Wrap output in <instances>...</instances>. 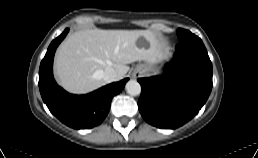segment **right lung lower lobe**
Returning a JSON list of instances; mask_svg holds the SVG:
<instances>
[{"instance_id":"right-lung-lower-lobe-1","label":"right lung lower lobe","mask_w":258,"mask_h":158,"mask_svg":"<svg viewBox=\"0 0 258 158\" xmlns=\"http://www.w3.org/2000/svg\"><path fill=\"white\" fill-rule=\"evenodd\" d=\"M66 29L54 39L43 58L39 69V89L50 112L62 123L75 129L92 128L107 116L112 98L119 94L128 78L104 86L87 95H72L59 87L52 73L56 48L68 33Z\"/></svg>"}]
</instances>
